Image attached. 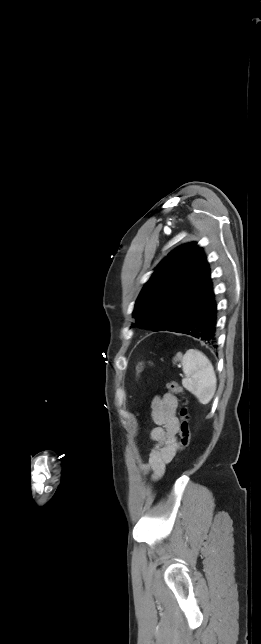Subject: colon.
<instances>
[{
    "mask_svg": "<svg viewBox=\"0 0 261 644\" xmlns=\"http://www.w3.org/2000/svg\"><path fill=\"white\" fill-rule=\"evenodd\" d=\"M144 368V364L141 363L138 365V372H141ZM168 389L175 393L180 394L182 389L178 382L171 380L167 383ZM179 450L183 451L190 443L191 440V430H190V417L186 407H183L180 410V423H179Z\"/></svg>",
    "mask_w": 261,
    "mask_h": 644,
    "instance_id": "obj_1",
    "label": "colon"
}]
</instances>
